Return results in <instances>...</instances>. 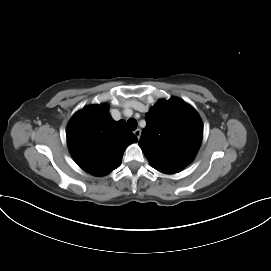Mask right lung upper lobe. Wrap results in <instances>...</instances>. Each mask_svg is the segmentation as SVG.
Wrapping results in <instances>:
<instances>
[{
  "label": "right lung upper lobe",
  "mask_w": 271,
  "mask_h": 271,
  "mask_svg": "<svg viewBox=\"0 0 271 271\" xmlns=\"http://www.w3.org/2000/svg\"><path fill=\"white\" fill-rule=\"evenodd\" d=\"M108 108L107 104L83 108L67 126V144L75 162L95 176L118 168L126 147L137 141L123 120L110 118Z\"/></svg>",
  "instance_id": "cb5924a9"
}]
</instances>
